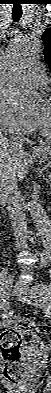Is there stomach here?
<instances>
[{
    "label": "stomach",
    "instance_id": "1",
    "mask_svg": "<svg viewBox=\"0 0 51 393\" xmlns=\"http://www.w3.org/2000/svg\"><path fill=\"white\" fill-rule=\"evenodd\" d=\"M45 147H40L34 151V157L41 161H51V147L49 152H44Z\"/></svg>",
    "mask_w": 51,
    "mask_h": 393
}]
</instances>
